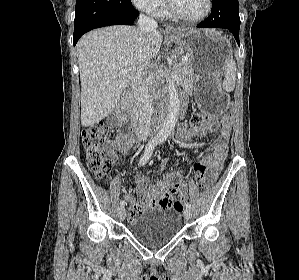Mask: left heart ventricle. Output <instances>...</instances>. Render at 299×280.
I'll return each mask as SVG.
<instances>
[{"mask_svg": "<svg viewBox=\"0 0 299 280\" xmlns=\"http://www.w3.org/2000/svg\"><path fill=\"white\" fill-rule=\"evenodd\" d=\"M173 6L188 18L200 17L206 10V0H171Z\"/></svg>", "mask_w": 299, "mask_h": 280, "instance_id": "b2bd125f", "label": "left heart ventricle"}]
</instances>
